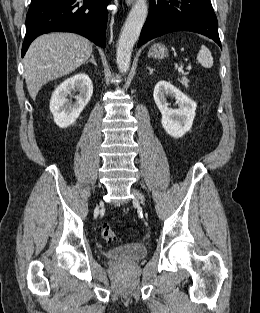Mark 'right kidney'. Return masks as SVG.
Listing matches in <instances>:
<instances>
[{
  "label": "right kidney",
  "instance_id": "1",
  "mask_svg": "<svg viewBox=\"0 0 260 313\" xmlns=\"http://www.w3.org/2000/svg\"><path fill=\"white\" fill-rule=\"evenodd\" d=\"M72 91H79L74 103L68 98ZM92 94V81L85 73H78L63 81L50 100V111L56 125L67 128L73 124L90 101Z\"/></svg>",
  "mask_w": 260,
  "mask_h": 313
}]
</instances>
